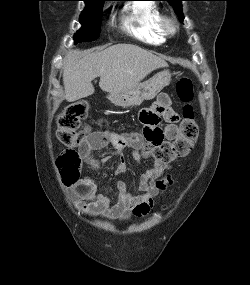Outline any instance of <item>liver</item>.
Instances as JSON below:
<instances>
[{
	"label": "liver",
	"mask_w": 250,
	"mask_h": 285,
	"mask_svg": "<svg viewBox=\"0 0 250 285\" xmlns=\"http://www.w3.org/2000/svg\"><path fill=\"white\" fill-rule=\"evenodd\" d=\"M166 66L162 57L132 44H117L96 52L71 50L64 59L65 98L74 102L92 95V80L96 77H100L103 91L117 92L137 85L153 70Z\"/></svg>",
	"instance_id": "obj_1"
}]
</instances>
